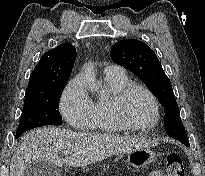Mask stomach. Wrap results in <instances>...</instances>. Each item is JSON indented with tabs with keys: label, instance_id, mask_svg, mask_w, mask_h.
Here are the masks:
<instances>
[{
	"label": "stomach",
	"instance_id": "obj_1",
	"mask_svg": "<svg viewBox=\"0 0 205 176\" xmlns=\"http://www.w3.org/2000/svg\"><path fill=\"white\" fill-rule=\"evenodd\" d=\"M155 159L156 154L153 151L147 148H140L128 154L127 162L132 167L139 169L146 167L148 164L155 161Z\"/></svg>",
	"mask_w": 205,
	"mask_h": 176
}]
</instances>
